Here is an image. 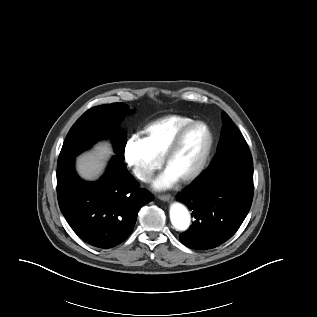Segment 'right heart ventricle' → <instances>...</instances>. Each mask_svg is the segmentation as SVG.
Wrapping results in <instances>:
<instances>
[{"mask_svg":"<svg viewBox=\"0 0 317 317\" xmlns=\"http://www.w3.org/2000/svg\"><path fill=\"white\" fill-rule=\"evenodd\" d=\"M191 121V118L182 115L165 116L142 130L143 140L156 157L163 159L175 135Z\"/></svg>","mask_w":317,"mask_h":317,"instance_id":"right-heart-ventricle-1","label":"right heart ventricle"}]
</instances>
